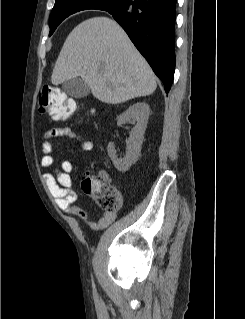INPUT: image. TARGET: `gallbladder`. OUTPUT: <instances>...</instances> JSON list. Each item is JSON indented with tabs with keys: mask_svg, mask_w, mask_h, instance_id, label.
<instances>
[{
	"mask_svg": "<svg viewBox=\"0 0 245 319\" xmlns=\"http://www.w3.org/2000/svg\"><path fill=\"white\" fill-rule=\"evenodd\" d=\"M62 89L66 94L74 98H83L89 95L90 88L81 78H72L62 84Z\"/></svg>",
	"mask_w": 245,
	"mask_h": 319,
	"instance_id": "obj_1",
	"label": "gallbladder"
}]
</instances>
